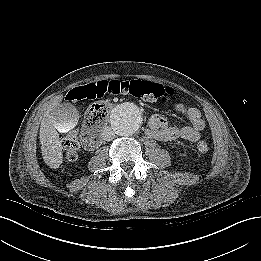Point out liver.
Returning a JSON list of instances; mask_svg holds the SVG:
<instances>
[{
  "mask_svg": "<svg viewBox=\"0 0 261 261\" xmlns=\"http://www.w3.org/2000/svg\"><path fill=\"white\" fill-rule=\"evenodd\" d=\"M63 95L53 98L46 107L43 119L40 125L39 138L41 144V153L44 162L53 169L58 168L63 160L61 141L59 132H68L75 127L78 121V113L74 118H58L55 108L61 103Z\"/></svg>",
  "mask_w": 261,
  "mask_h": 261,
  "instance_id": "obj_1",
  "label": "liver"
}]
</instances>
